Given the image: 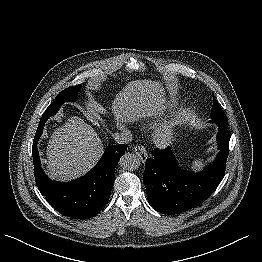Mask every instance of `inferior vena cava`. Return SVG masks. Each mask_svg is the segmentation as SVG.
Wrapping results in <instances>:
<instances>
[{
    "label": "inferior vena cava",
    "instance_id": "obj_1",
    "mask_svg": "<svg viewBox=\"0 0 262 262\" xmlns=\"http://www.w3.org/2000/svg\"><path fill=\"white\" fill-rule=\"evenodd\" d=\"M114 139L117 143L127 144V143L131 142L132 134L129 130L123 129V130L120 131V133L117 132V133L114 134Z\"/></svg>",
    "mask_w": 262,
    "mask_h": 262
}]
</instances>
